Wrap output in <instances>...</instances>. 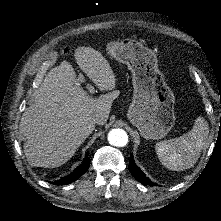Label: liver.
Wrapping results in <instances>:
<instances>
[{
  "label": "liver",
  "mask_w": 221,
  "mask_h": 221,
  "mask_svg": "<svg viewBox=\"0 0 221 221\" xmlns=\"http://www.w3.org/2000/svg\"><path fill=\"white\" fill-rule=\"evenodd\" d=\"M74 59L82 72L100 89H112L115 79L109 64L93 49L79 48ZM71 65L63 61L51 69L34 91L19 129L23 151L31 166L54 168L67 163L94 130L90 114H99L98 125L109 117L118 91L99 98L85 95Z\"/></svg>",
  "instance_id": "6515ba94"
}]
</instances>
